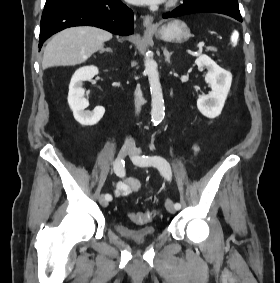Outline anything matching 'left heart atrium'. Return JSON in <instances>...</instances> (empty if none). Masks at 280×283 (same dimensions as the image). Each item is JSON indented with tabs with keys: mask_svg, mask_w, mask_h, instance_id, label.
Returning <instances> with one entry per match:
<instances>
[{
	"mask_svg": "<svg viewBox=\"0 0 280 283\" xmlns=\"http://www.w3.org/2000/svg\"><path fill=\"white\" fill-rule=\"evenodd\" d=\"M129 3H133V4H158L163 2L164 0H126Z\"/></svg>",
	"mask_w": 280,
	"mask_h": 283,
	"instance_id": "39dd6f15",
	"label": "left heart atrium"
}]
</instances>
